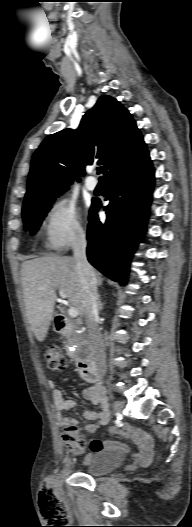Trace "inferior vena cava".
I'll use <instances>...</instances> for the list:
<instances>
[{
	"label": "inferior vena cava",
	"mask_w": 192,
	"mask_h": 527,
	"mask_svg": "<svg viewBox=\"0 0 192 527\" xmlns=\"http://www.w3.org/2000/svg\"><path fill=\"white\" fill-rule=\"evenodd\" d=\"M72 250L81 283L86 326L92 340L99 373L103 376L106 371V356L105 344L98 325L99 316L96 277L95 272L86 257V238L82 229L77 230L73 235Z\"/></svg>",
	"instance_id": "1"
}]
</instances>
